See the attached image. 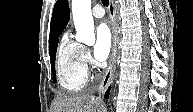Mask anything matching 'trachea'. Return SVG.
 <instances>
[{"mask_svg": "<svg viewBox=\"0 0 193 112\" xmlns=\"http://www.w3.org/2000/svg\"><path fill=\"white\" fill-rule=\"evenodd\" d=\"M102 3H103L105 6H108V5H109V0H102Z\"/></svg>", "mask_w": 193, "mask_h": 112, "instance_id": "1", "label": "trachea"}]
</instances>
